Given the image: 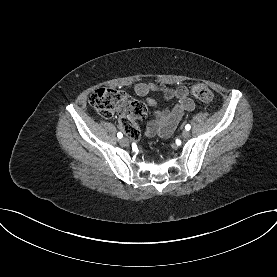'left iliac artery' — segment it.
Instances as JSON below:
<instances>
[{"mask_svg": "<svg viewBox=\"0 0 277 277\" xmlns=\"http://www.w3.org/2000/svg\"><path fill=\"white\" fill-rule=\"evenodd\" d=\"M190 128H191V126H190L189 124H187V125L185 126V129H186V130H190Z\"/></svg>", "mask_w": 277, "mask_h": 277, "instance_id": "44dca946", "label": "left iliac artery"}]
</instances>
